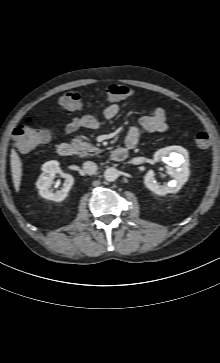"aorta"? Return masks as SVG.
<instances>
[{"label":"aorta","mask_w":220,"mask_h":363,"mask_svg":"<svg viewBox=\"0 0 220 363\" xmlns=\"http://www.w3.org/2000/svg\"><path fill=\"white\" fill-rule=\"evenodd\" d=\"M118 176L119 172L114 167H109L104 172V178L109 182L115 181L118 178Z\"/></svg>","instance_id":"1"}]
</instances>
